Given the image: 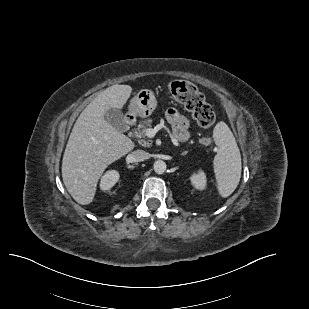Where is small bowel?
Listing matches in <instances>:
<instances>
[{"label":"small bowel","mask_w":309,"mask_h":309,"mask_svg":"<svg viewBox=\"0 0 309 309\" xmlns=\"http://www.w3.org/2000/svg\"><path fill=\"white\" fill-rule=\"evenodd\" d=\"M166 118L173 126V137L180 142L189 138V124L187 119L175 108H169Z\"/></svg>","instance_id":"small-bowel-1"}]
</instances>
